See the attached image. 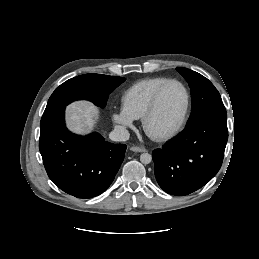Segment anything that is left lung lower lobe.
<instances>
[{
	"label": "left lung lower lobe",
	"instance_id": "1",
	"mask_svg": "<svg viewBox=\"0 0 259 259\" xmlns=\"http://www.w3.org/2000/svg\"><path fill=\"white\" fill-rule=\"evenodd\" d=\"M227 140V116H209L187 125L152 152L160 187L183 196L204 186L219 171Z\"/></svg>",
	"mask_w": 259,
	"mask_h": 259
}]
</instances>
